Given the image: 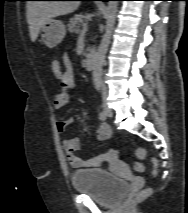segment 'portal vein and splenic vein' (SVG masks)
<instances>
[{"label": "portal vein and splenic vein", "instance_id": "18ae733b", "mask_svg": "<svg viewBox=\"0 0 188 213\" xmlns=\"http://www.w3.org/2000/svg\"><path fill=\"white\" fill-rule=\"evenodd\" d=\"M86 30H87V24H83L81 33H85Z\"/></svg>", "mask_w": 188, "mask_h": 213}]
</instances>
